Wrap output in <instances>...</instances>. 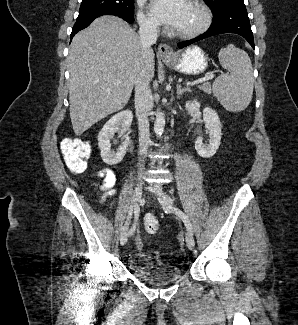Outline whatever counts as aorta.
Segmentation results:
<instances>
[{
	"label": "aorta",
	"mask_w": 298,
	"mask_h": 325,
	"mask_svg": "<svg viewBox=\"0 0 298 325\" xmlns=\"http://www.w3.org/2000/svg\"><path fill=\"white\" fill-rule=\"evenodd\" d=\"M164 126H165V114L164 112H158L154 120V130L156 134H162Z\"/></svg>",
	"instance_id": "1"
}]
</instances>
